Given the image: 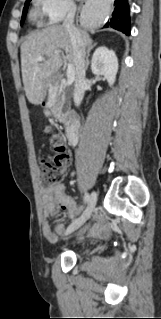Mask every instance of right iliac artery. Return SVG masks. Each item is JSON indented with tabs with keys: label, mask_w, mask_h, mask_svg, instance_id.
Returning <instances> with one entry per match:
<instances>
[{
	"label": "right iliac artery",
	"mask_w": 161,
	"mask_h": 319,
	"mask_svg": "<svg viewBox=\"0 0 161 319\" xmlns=\"http://www.w3.org/2000/svg\"><path fill=\"white\" fill-rule=\"evenodd\" d=\"M84 201H85L86 203H89V201H90V196H89L88 193H85V195H84Z\"/></svg>",
	"instance_id": "82829eb1"
}]
</instances>
